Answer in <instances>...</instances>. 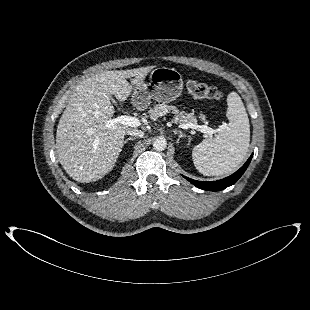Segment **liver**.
Instances as JSON below:
<instances>
[{
    "label": "liver",
    "mask_w": 310,
    "mask_h": 310,
    "mask_svg": "<svg viewBox=\"0 0 310 310\" xmlns=\"http://www.w3.org/2000/svg\"><path fill=\"white\" fill-rule=\"evenodd\" d=\"M152 68L105 71L77 85L56 132L59 162L74 180L94 182L113 169L126 131L134 128L120 123L106 127L115 112L112 95L125 101L134 84L144 79ZM130 77H135L131 84L126 80Z\"/></svg>",
    "instance_id": "obj_1"
}]
</instances>
